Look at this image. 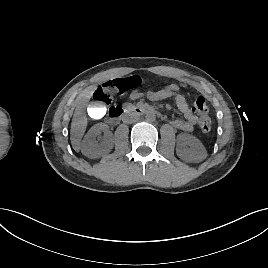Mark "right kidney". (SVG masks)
Instances as JSON below:
<instances>
[{"label":"right kidney","mask_w":268,"mask_h":268,"mask_svg":"<svg viewBox=\"0 0 268 268\" xmlns=\"http://www.w3.org/2000/svg\"><path fill=\"white\" fill-rule=\"evenodd\" d=\"M102 132H105L104 139L101 143H98L96 139ZM112 148V136L108 130V125L104 123H99L91 127L81 143L82 154L89 158H99L109 153Z\"/></svg>","instance_id":"right-kidney-1"}]
</instances>
